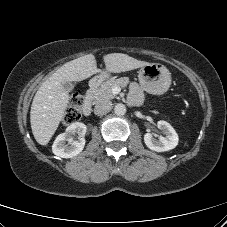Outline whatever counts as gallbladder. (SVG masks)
Returning a JSON list of instances; mask_svg holds the SVG:
<instances>
[{"mask_svg": "<svg viewBox=\"0 0 227 227\" xmlns=\"http://www.w3.org/2000/svg\"><path fill=\"white\" fill-rule=\"evenodd\" d=\"M63 86H64L65 90L68 92H70L74 87L71 82H65V83H63Z\"/></svg>", "mask_w": 227, "mask_h": 227, "instance_id": "1", "label": "gallbladder"}]
</instances>
